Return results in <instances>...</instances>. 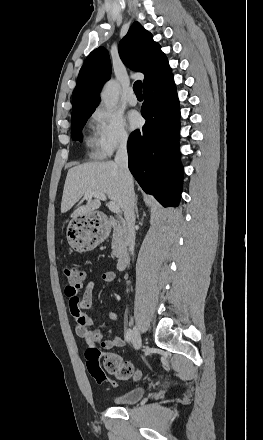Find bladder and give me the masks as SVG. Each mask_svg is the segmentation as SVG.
<instances>
[{"mask_svg":"<svg viewBox=\"0 0 263 440\" xmlns=\"http://www.w3.org/2000/svg\"><path fill=\"white\" fill-rule=\"evenodd\" d=\"M145 394V389L143 387H133L121 395L117 396L114 401L117 404L127 405L138 402L142 399Z\"/></svg>","mask_w":263,"mask_h":440,"instance_id":"obj_1","label":"bladder"}]
</instances>
